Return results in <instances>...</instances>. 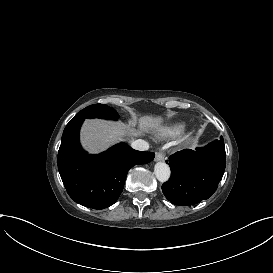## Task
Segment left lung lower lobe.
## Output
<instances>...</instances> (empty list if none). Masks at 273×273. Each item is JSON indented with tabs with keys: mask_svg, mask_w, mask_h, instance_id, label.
Wrapping results in <instances>:
<instances>
[{
	"mask_svg": "<svg viewBox=\"0 0 273 273\" xmlns=\"http://www.w3.org/2000/svg\"><path fill=\"white\" fill-rule=\"evenodd\" d=\"M169 165L171 178L162 185V191L171 203L189 206L208 199L216 191L226 166L223 137L203 148L173 154Z\"/></svg>",
	"mask_w": 273,
	"mask_h": 273,
	"instance_id": "1",
	"label": "left lung lower lobe"
}]
</instances>
